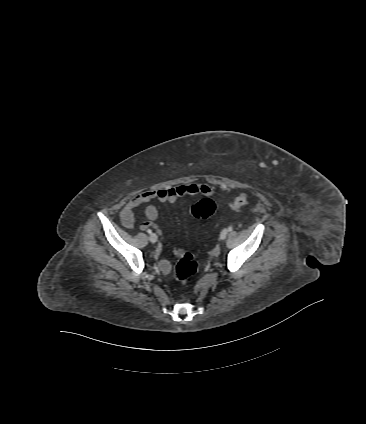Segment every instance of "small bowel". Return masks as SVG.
Wrapping results in <instances>:
<instances>
[{
  "mask_svg": "<svg viewBox=\"0 0 366 424\" xmlns=\"http://www.w3.org/2000/svg\"><path fill=\"white\" fill-rule=\"evenodd\" d=\"M215 193V189L205 183H187L174 187L161 188L158 190H150L142 192L133 197L120 212V220L122 225L127 229H133L134 227V210L139 207H145L146 221L140 224V228L145 230L153 227L157 230L159 228L154 224V221L158 217V209L152 204L153 201L169 202L173 203L178 198L184 196L202 195L205 197L212 196ZM148 230V229H147ZM161 251L160 247H157L155 254L158 255ZM160 269L163 272L170 270V262L162 260L159 264Z\"/></svg>",
  "mask_w": 366,
  "mask_h": 424,
  "instance_id": "obj_1",
  "label": "small bowel"
}]
</instances>
